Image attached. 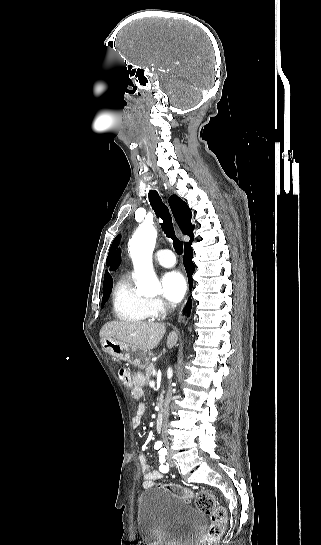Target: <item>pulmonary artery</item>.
<instances>
[{
  "label": "pulmonary artery",
  "mask_w": 321,
  "mask_h": 545,
  "mask_svg": "<svg viewBox=\"0 0 321 545\" xmlns=\"http://www.w3.org/2000/svg\"><path fill=\"white\" fill-rule=\"evenodd\" d=\"M172 257V251L168 249L158 250L154 255V259L163 267H173L176 264Z\"/></svg>",
  "instance_id": "obj_1"
}]
</instances>
